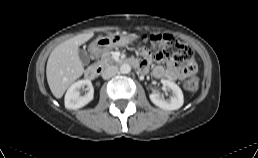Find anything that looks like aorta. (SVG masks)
<instances>
[{"mask_svg":"<svg viewBox=\"0 0 258 158\" xmlns=\"http://www.w3.org/2000/svg\"><path fill=\"white\" fill-rule=\"evenodd\" d=\"M131 71V67H130V65L129 64H122L121 66H120V72L122 73V74H128L129 72Z\"/></svg>","mask_w":258,"mask_h":158,"instance_id":"1","label":"aorta"}]
</instances>
